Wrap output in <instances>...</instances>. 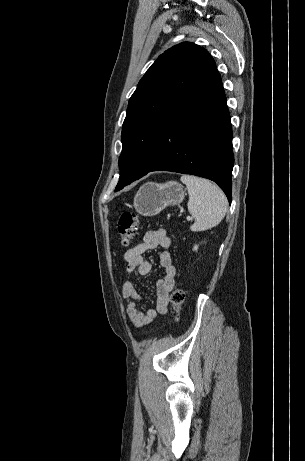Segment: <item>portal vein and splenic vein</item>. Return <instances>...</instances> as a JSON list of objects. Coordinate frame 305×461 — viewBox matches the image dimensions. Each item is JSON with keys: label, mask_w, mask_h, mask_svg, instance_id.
<instances>
[{"label": "portal vein and splenic vein", "mask_w": 305, "mask_h": 461, "mask_svg": "<svg viewBox=\"0 0 305 461\" xmlns=\"http://www.w3.org/2000/svg\"><path fill=\"white\" fill-rule=\"evenodd\" d=\"M186 219H187L188 221H192V217H190V216H187Z\"/></svg>", "instance_id": "portal-vein-and-splenic-vein-1"}]
</instances>
